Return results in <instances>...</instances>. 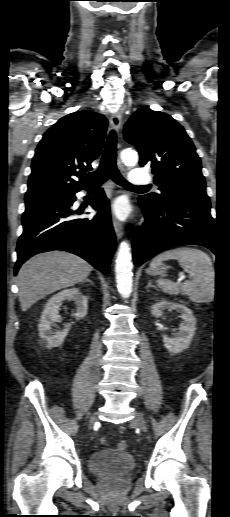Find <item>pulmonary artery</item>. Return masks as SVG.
<instances>
[{"label":"pulmonary artery","mask_w":230,"mask_h":517,"mask_svg":"<svg viewBox=\"0 0 230 517\" xmlns=\"http://www.w3.org/2000/svg\"><path fill=\"white\" fill-rule=\"evenodd\" d=\"M151 182V176L144 169H132L129 174L131 185H146Z\"/></svg>","instance_id":"1"}]
</instances>
